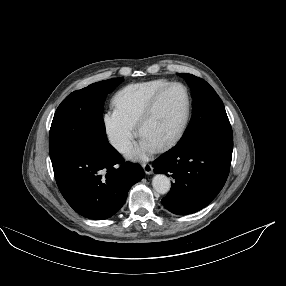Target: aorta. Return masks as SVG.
<instances>
[{"label": "aorta", "instance_id": "obj_1", "mask_svg": "<svg viewBox=\"0 0 286 286\" xmlns=\"http://www.w3.org/2000/svg\"><path fill=\"white\" fill-rule=\"evenodd\" d=\"M152 185L156 192L167 194L171 188L169 178L164 174H157L152 179Z\"/></svg>", "mask_w": 286, "mask_h": 286}]
</instances>
